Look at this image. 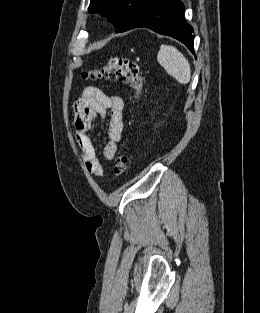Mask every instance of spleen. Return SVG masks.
Masks as SVG:
<instances>
[{"label": "spleen", "mask_w": 260, "mask_h": 313, "mask_svg": "<svg viewBox=\"0 0 260 313\" xmlns=\"http://www.w3.org/2000/svg\"><path fill=\"white\" fill-rule=\"evenodd\" d=\"M157 60L165 71L179 83H189L191 78L190 64L177 48L171 45H161Z\"/></svg>", "instance_id": "spleen-1"}]
</instances>
